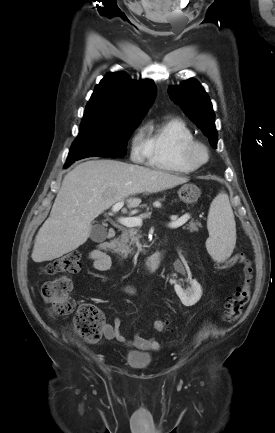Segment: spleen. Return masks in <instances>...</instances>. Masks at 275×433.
<instances>
[{"mask_svg": "<svg viewBox=\"0 0 275 433\" xmlns=\"http://www.w3.org/2000/svg\"><path fill=\"white\" fill-rule=\"evenodd\" d=\"M207 228V251L216 262H224L231 256L236 243V224L227 194L221 192L212 201Z\"/></svg>", "mask_w": 275, "mask_h": 433, "instance_id": "obj_1", "label": "spleen"}]
</instances>
